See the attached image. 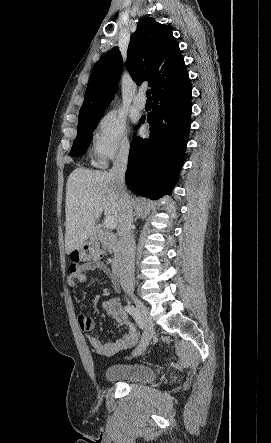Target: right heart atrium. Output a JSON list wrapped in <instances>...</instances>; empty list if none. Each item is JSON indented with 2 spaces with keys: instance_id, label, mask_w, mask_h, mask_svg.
Segmentation results:
<instances>
[{
  "instance_id": "obj_1",
  "label": "right heart atrium",
  "mask_w": 271,
  "mask_h": 443,
  "mask_svg": "<svg viewBox=\"0 0 271 443\" xmlns=\"http://www.w3.org/2000/svg\"><path fill=\"white\" fill-rule=\"evenodd\" d=\"M130 127L116 111L104 113L96 122L90 142L93 161L103 165L107 161L129 152Z\"/></svg>"
}]
</instances>
